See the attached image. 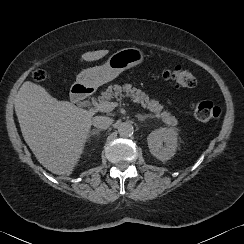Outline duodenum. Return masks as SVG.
I'll use <instances>...</instances> for the list:
<instances>
[{
	"instance_id": "410a0bca",
	"label": "duodenum",
	"mask_w": 244,
	"mask_h": 244,
	"mask_svg": "<svg viewBox=\"0 0 244 244\" xmlns=\"http://www.w3.org/2000/svg\"><path fill=\"white\" fill-rule=\"evenodd\" d=\"M92 91L93 90L87 85L76 84L72 88L71 99L78 104L88 102Z\"/></svg>"
}]
</instances>
